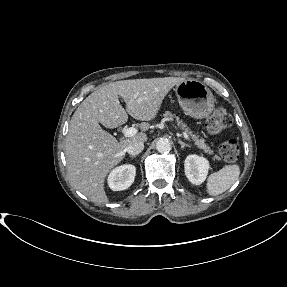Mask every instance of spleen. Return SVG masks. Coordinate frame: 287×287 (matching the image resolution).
I'll return each instance as SVG.
<instances>
[{
    "label": "spleen",
    "instance_id": "spleen-1",
    "mask_svg": "<svg viewBox=\"0 0 287 287\" xmlns=\"http://www.w3.org/2000/svg\"><path fill=\"white\" fill-rule=\"evenodd\" d=\"M238 165H227L219 171L212 173L207 180V193L211 196L222 194L228 190L239 178Z\"/></svg>",
    "mask_w": 287,
    "mask_h": 287
}]
</instances>
